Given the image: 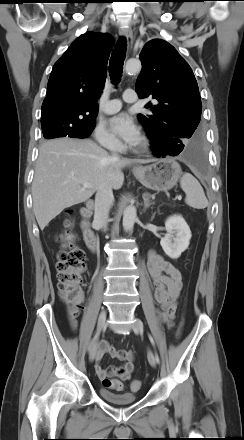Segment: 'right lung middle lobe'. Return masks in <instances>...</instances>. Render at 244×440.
<instances>
[{"label": "right lung middle lobe", "mask_w": 244, "mask_h": 440, "mask_svg": "<svg viewBox=\"0 0 244 440\" xmlns=\"http://www.w3.org/2000/svg\"><path fill=\"white\" fill-rule=\"evenodd\" d=\"M43 136L46 139L58 137L86 138L95 127V121L76 126L65 120H46L41 121Z\"/></svg>", "instance_id": "right-lung-middle-lobe-1"}]
</instances>
